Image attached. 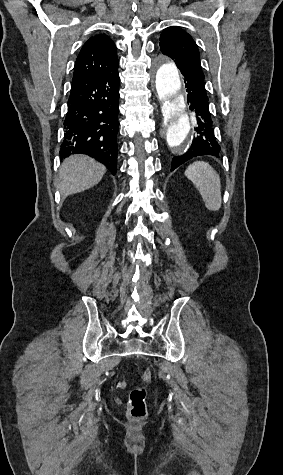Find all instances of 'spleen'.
Wrapping results in <instances>:
<instances>
[{
	"mask_svg": "<svg viewBox=\"0 0 283 475\" xmlns=\"http://www.w3.org/2000/svg\"><path fill=\"white\" fill-rule=\"evenodd\" d=\"M201 194L207 210L216 212L222 204L220 176L207 162H193L185 172Z\"/></svg>",
	"mask_w": 283,
	"mask_h": 475,
	"instance_id": "1",
	"label": "spleen"
}]
</instances>
